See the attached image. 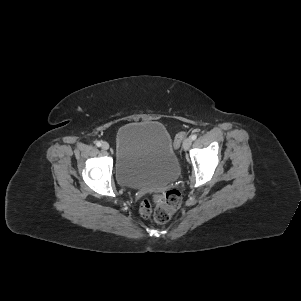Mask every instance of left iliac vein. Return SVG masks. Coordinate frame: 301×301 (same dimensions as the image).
I'll return each instance as SVG.
<instances>
[{
  "label": "left iliac vein",
  "mask_w": 301,
  "mask_h": 301,
  "mask_svg": "<svg viewBox=\"0 0 301 301\" xmlns=\"http://www.w3.org/2000/svg\"><path fill=\"white\" fill-rule=\"evenodd\" d=\"M191 144H192L191 137H187L183 142V149L188 150L190 148Z\"/></svg>",
  "instance_id": "4c4485c4"
}]
</instances>
